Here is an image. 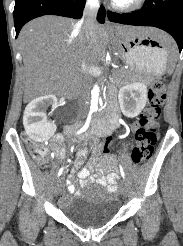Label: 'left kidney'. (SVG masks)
Here are the masks:
<instances>
[{
    "instance_id": "1",
    "label": "left kidney",
    "mask_w": 183,
    "mask_h": 246,
    "mask_svg": "<svg viewBox=\"0 0 183 246\" xmlns=\"http://www.w3.org/2000/svg\"><path fill=\"white\" fill-rule=\"evenodd\" d=\"M118 100L123 114L133 118L141 113L147 100V87L144 83L133 82L119 90Z\"/></svg>"
}]
</instances>
